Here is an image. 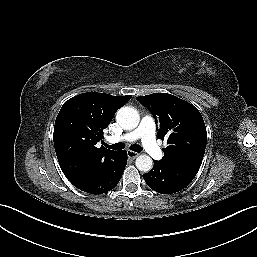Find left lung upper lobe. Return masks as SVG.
<instances>
[{
	"label": "left lung upper lobe",
	"mask_w": 257,
	"mask_h": 257,
	"mask_svg": "<svg viewBox=\"0 0 257 257\" xmlns=\"http://www.w3.org/2000/svg\"><path fill=\"white\" fill-rule=\"evenodd\" d=\"M154 114L158 136L167 139L161 161L199 170L205 153L207 132L199 110L171 94L154 93L136 98Z\"/></svg>",
	"instance_id": "1"
}]
</instances>
